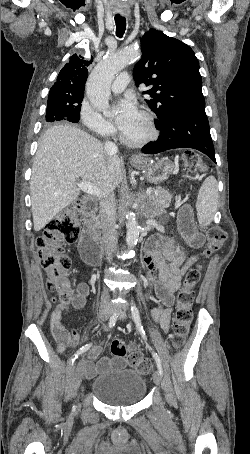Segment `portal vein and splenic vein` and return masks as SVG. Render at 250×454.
<instances>
[{"mask_svg":"<svg viewBox=\"0 0 250 454\" xmlns=\"http://www.w3.org/2000/svg\"><path fill=\"white\" fill-rule=\"evenodd\" d=\"M78 187L81 191H83L89 195L96 196V197L105 196V194H102L100 192V190L96 186H94L92 183H89L86 181H81L78 184Z\"/></svg>","mask_w":250,"mask_h":454,"instance_id":"portal-vein-and-splenic-vein-1","label":"portal vein and splenic vein"}]
</instances>
